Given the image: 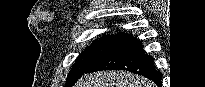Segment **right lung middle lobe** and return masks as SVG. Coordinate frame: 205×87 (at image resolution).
Instances as JSON below:
<instances>
[{
	"mask_svg": "<svg viewBox=\"0 0 205 87\" xmlns=\"http://www.w3.org/2000/svg\"><path fill=\"white\" fill-rule=\"evenodd\" d=\"M130 35L120 33L113 36H104L95 40L82 52L73 64L66 81L65 87H71L76 81L96 62L125 43Z\"/></svg>",
	"mask_w": 205,
	"mask_h": 87,
	"instance_id": "1",
	"label": "right lung middle lobe"
}]
</instances>
